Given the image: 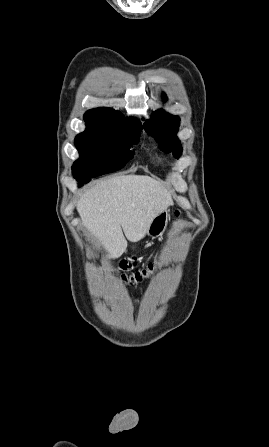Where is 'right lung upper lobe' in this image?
<instances>
[{
  "mask_svg": "<svg viewBox=\"0 0 269 447\" xmlns=\"http://www.w3.org/2000/svg\"><path fill=\"white\" fill-rule=\"evenodd\" d=\"M87 123L100 124L105 126H142L136 118H124V116L111 108H95L87 111L84 115Z\"/></svg>",
  "mask_w": 269,
  "mask_h": 447,
  "instance_id": "right-lung-upper-lobe-1",
  "label": "right lung upper lobe"
}]
</instances>
